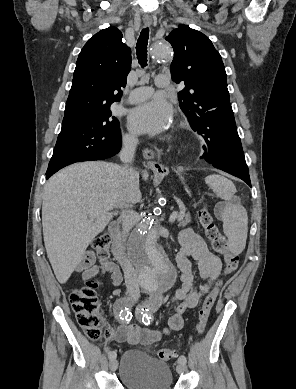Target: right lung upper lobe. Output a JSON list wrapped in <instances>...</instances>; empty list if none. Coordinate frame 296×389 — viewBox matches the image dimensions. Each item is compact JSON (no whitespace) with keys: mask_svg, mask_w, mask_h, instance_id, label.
<instances>
[{"mask_svg":"<svg viewBox=\"0 0 296 389\" xmlns=\"http://www.w3.org/2000/svg\"><path fill=\"white\" fill-rule=\"evenodd\" d=\"M116 27L101 30L81 50L64 118L110 108L122 96L131 69V51Z\"/></svg>","mask_w":296,"mask_h":389,"instance_id":"1","label":"right lung upper lobe"}]
</instances>
